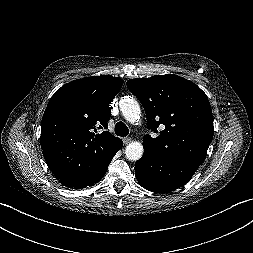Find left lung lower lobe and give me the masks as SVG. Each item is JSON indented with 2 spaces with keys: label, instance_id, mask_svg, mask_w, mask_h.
Masks as SVG:
<instances>
[{
  "label": "left lung lower lobe",
  "instance_id": "1",
  "mask_svg": "<svg viewBox=\"0 0 253 253\" xmlns=\"http://www.w3.org/2000/svg\"><path fill=\"white\" fill-rule=\"evenodd\" d=\"M200 164L186 162L170 165L160 161L150 149L144 147L143 156L135 163V173L139 184L145 189L166 193L185 185Z\"/></svg>",
  "mask_w": 253,
  "mask_h": 253
}]
</instances>
